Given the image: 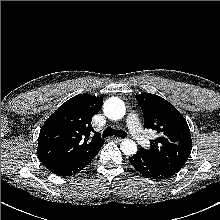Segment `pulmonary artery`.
Returning a JSON list of instances; mask_svg holds the SVG:
<instances>
[{"instance_id":"obj_1","label":"pulmonary artery","mask_w":220,"mask_h":220,"mask_svg":"<svg viewBox=\"0 0 220 220\" xmlns=\"http://www.w3.org/2000/svg\"><path fill=\"white\" fill-rule=\"evenodd\" d=\"M127 125L132 136L143 146L149 144V140L142 129L140 121L136 114H129L127 117Z\"/></svg>"}]
</instances>
